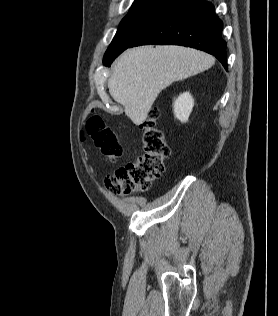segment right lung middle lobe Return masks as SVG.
I'll use <instances>...</instances> for the list:
<instances>
[{
    "mask_svg": "<svg viewBox=\"0 0 278 316\" xmlns=\"http://www.w3.org/2000/svg\"><path fill=\"white\" fill-rule=\"evenodd\" d=\"M170 0H135L109 45L103 62L128 48L158 17Z\"/></svg>",
    "mask_w": 278,
    "mask_h": 316,
    "instance_id": "right-lung-middle-lobe-1",
    "label": "right lung middle lobe"
}]
</instances>
